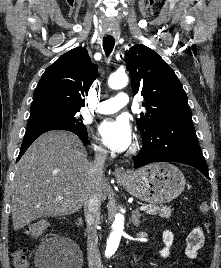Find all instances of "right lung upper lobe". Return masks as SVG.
Wrapping results in <instances>:
<instances>
[{
    "mask_svg": "<svg viewBox=\"0 0 221 268\" xmlns=\"http://www.w3.org/2000/svg\"><path fill=\"white\" fill-rule=\"evenodd\" d=\"M97 73L86 49L77 47L63 54L42 75L33 94L30 115L80 111Z\"/></svg>",
    "mask_w": 221,
    "mask_h": 268,
    "instance_id": "right-lung-upper-lobe-1",
    "label": "right lung upper lobe"
}]
</instances>
